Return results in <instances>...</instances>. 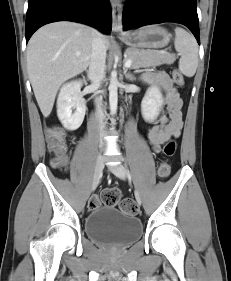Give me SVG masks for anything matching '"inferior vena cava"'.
<instances>
[{
    "label": "inferior vena cava",
    "mask_w": 231,
    "mask_h": 281,
    "mask_svg": "<svg viewBox=\"0 0 231 281\" xmlns=\"http://www.w3.org/2000/svg\"><path fill=\"white\" fill-rule=\"evenodd\" d=\"M106 69V45L103 39V35L98 31H93L92 39V53L88 70V78L91 81V87L93 90H98L101 86V82L105 77ZM96 117L98 121V128L100 134V146L103 145V136L105 128V115L103 112L102 97L95 99Z\"/></svg>",
    "instance_id": "obj_1"
}]
</instances>
